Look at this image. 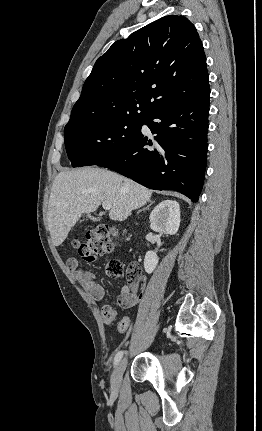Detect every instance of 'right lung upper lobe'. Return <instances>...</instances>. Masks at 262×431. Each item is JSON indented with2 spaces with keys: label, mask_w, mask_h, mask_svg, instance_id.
<instances>
[{
  "label": "right lung upper lobe",
  "mask_w": 262,
  "mask_h": 431,
  "mask_svg": "<svg viewBox=\"0 0 262 431\" xmlns=\"http://www.w3.org/2000/svg\"><path fill=\"white\" fill-rule=\"evenodd\" d=\"M208 81L194 25L169 15L116 41L96 61L66 126L121 116L147 118L194 97Z\"/></svg>",
  "instance_id": "obj_1"
}]
</instances>
